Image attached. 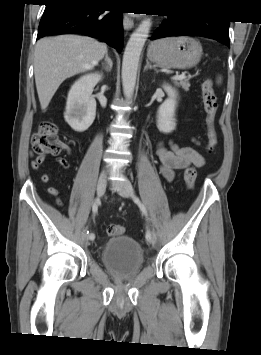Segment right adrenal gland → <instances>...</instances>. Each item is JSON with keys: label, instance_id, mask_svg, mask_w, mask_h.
<instances>
[{"label": "right adrenal gland", "instance_id": "2a0ac1e0", "mask_svg": "<svg viewBox=\"0 0 261 355\" xmlns=\"http://www.w3.org/2000/svg\"><path fill=\"white\" fill-rule=\"evenodd\" d=\"M102 65H103L106 72H110L113 67V62L108 55V51L105 54V58H104V61L102 62Z\"/></svg>", "mask_w": 261, "mask_h": 355}]
</instances>
